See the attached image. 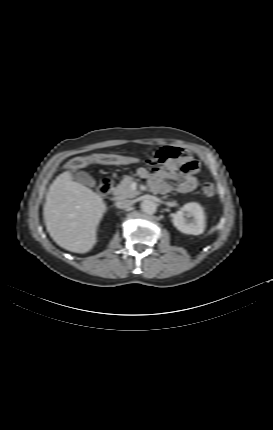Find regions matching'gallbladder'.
Wrapping results in <instances>:
<instances>
[{
    "mask_svg": "<svg viewBox=\"0 0 273 430\" xmlns=\"http://www.w3.org/2000/svg\"><path fill=\"white\" fill-rule=\"evenodd\" d=\"M74 180L88 187L96 185L95 180L87 172H78L74 175Z\"/></svg>",
    "mask_w": 273,
    "mask_h": 430,
    "instance_id": "bac80fb5",
    "label": "gallbladder"
}]
</instances>
